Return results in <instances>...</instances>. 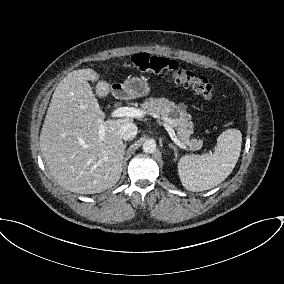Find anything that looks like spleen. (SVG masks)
<instances>
[{"label":"spleen","mask_w":284,"mask_h":284,"mask_svg":"<svg viewBox=\"0 0 284 284\" xmlns=\"http://www.w3.org/2000/svg\"><path fill=\"white\" fill-rule=\"evenodd\" d=\"M241 143V132L237 129H228L217 138L214 153L182 156L178 162V174L182 185L193 192L217 186L235 167L240 156Z\"/></svg>","instance_id":"obj_1"}]
</instances>
